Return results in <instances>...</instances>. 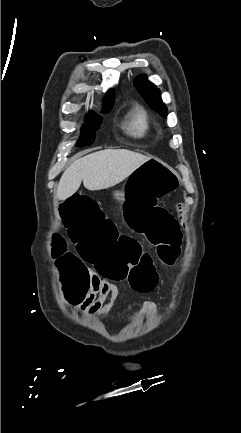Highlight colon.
Segmentation results:
<instances>
[{"instance_id":"obj_1","label":"colon","mask_w":241,"mask_h":433,"mask_svg":"<svg viewBox=\"0 0 241 433\" xmlns=\"http://www.w3.org/2000/svg\"><path fill=\"white\" fill-rule=\"evenodd\" d=\"M161 157H146L137 164L126 182L121 214L125 223L138 233L150 235L159 260L173 265L180 254L183 231L180 219L166 207H157L164 195L180 186L177 172ZM56 209L63 214L61 228L69 229V239L75 243L77 257L67 252L60 236H56L53 256L58 259L57 271L64 272L62 289L69 296V305H84L91 291V272H101L113 281L129 279L137 292L151 291L157 283V273L150 254L143 251L135 234L119 230L115 220H106L102 206L96 205L89 192H70ZM132 205L134 207H132Z\"/></svg>"}]
</instances>
